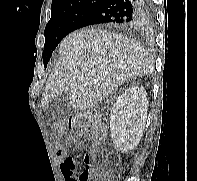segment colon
Returning <instances> with one entry per match:
<instances>
[{"mask_svg": "<svg viewBox=\"0 0 197 181\" xmlns=\"http://www.w3.org/2000/svg\"><path fill=\"white\" fill-rule=\"evenodd\" d=\"M52 129L56 136L63 135V125L55 124ZM71 129L77 135L94 136L97 126L95 119L79 115L73 118ZM84 164L85 167L81 171L78 181H111L112 173L97 165L89 156L84 157Z\"/></svg>", "mask_w": 197, "mask_h": 181, "instance_id": "obj_1", "label": "colon"}]
</instances>
